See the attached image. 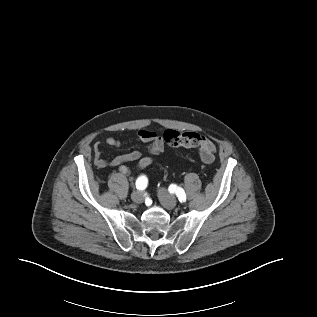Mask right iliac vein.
<instances>
[{
	"mask_svg": "<svg viewBox=\"0 0 317 317\" xmlns=\"http://www.w3.org/2000/svg\"><path fill=\"white\" fill-rule=\"evenodd\" d=\"M131 199L136 204H140V203L143 202V197H142V195H141V193L139 191H134L131 194Z\"/></svg>",
	"mask_w": 317,
	"mask_h": 317,
	"instance_id": "63e3f726",
	"label": "right iliac vein"
}]
</instances>
